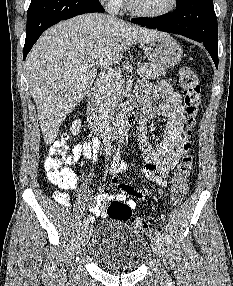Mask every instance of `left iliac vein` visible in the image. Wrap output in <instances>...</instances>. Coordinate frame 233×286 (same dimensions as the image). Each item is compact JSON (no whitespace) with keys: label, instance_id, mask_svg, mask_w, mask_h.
Returning <instances> with one entry per match:
<instances>
[{"label":"left iliac vein","instance_id":"obj_1","mask_svg":"<svg viewBox=\"0 0 233 286\" xmlns=\"http://www.w3.org/2000/svg\"><path fill=\"white\" fill-rule=\"evenodd\" d=\"M151 247L154 253L157 256L161 257V254H162L161 243H160V240L156 236H153L151 239Z\"/></svg>","mask_w":233,"mask_h":286}]
</instances>
